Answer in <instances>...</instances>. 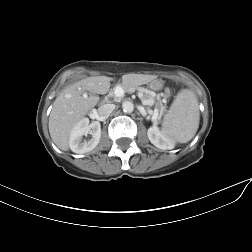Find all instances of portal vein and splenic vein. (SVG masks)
Returning <instances> with one entry per match:
<instances>
[{
	"instance_id": "18ae733b",
	"label": "portal vein and splenic vein",
	"mask_w": 252,
	"mask_h": 252,
	"mask_svg": "<svg viewBox=\"0 0 252 252\" xmlns=\"http://www.w3.org/2000/svg\"><path fill=\"white\" fill-rule=\"evenodd\" d=\"M114 94H115L116 97H123L124 96V90H123V88L120 87V86L116 87L115 91H114ZM138 97L141 99V101H142V103L144 105H147V101L143 99L142 94H138ZM157 116H158V113H154L153 117H152L153 120H156Z\"/></svg>"
}]
</instances>
